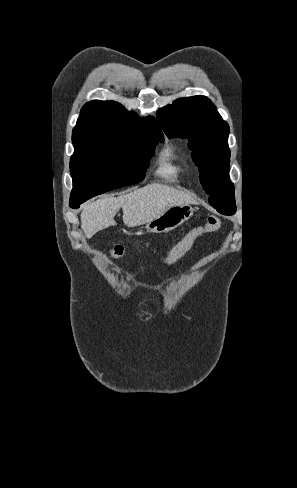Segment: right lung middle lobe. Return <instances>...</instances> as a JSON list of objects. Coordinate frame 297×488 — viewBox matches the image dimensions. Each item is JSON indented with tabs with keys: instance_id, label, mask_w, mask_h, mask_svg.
Segmentation results:
<instances>
[{
	"instance_id": "right-lung-middle-lobe-1",
	"label": "right lung middle lobe",
	"mask_w": 297,
	"mask_h": 488,
	"mask_svg": "<svg viewBox=\"0 0 297 488\" xmlns=\"http://www.w3.org/2000/svg\"><path fill=\"white\" fill-rule=\"evenodd\" d=\"M163 137L150 130L74 146L70 159L73 190L71 208L109 190L135 184L145 177L149 159Z\"/></svg>"
}]
</instances>
